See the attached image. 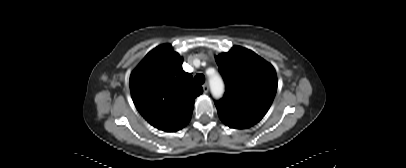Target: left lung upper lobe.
Here are the masks:
<instances>
[{"label": "left lung upper lobe", "mask_w": 406, "mask_h": 168, "mask_svg": "<svg viewBox=\"0 0 406 168\" xmlns=\"http://www.w3.org/2000/svg\"><path fill=\"white\" fill-rule=\"evenodd\" d=\"M226 92L215 105L219 115L256 124L270 108L277 90L274 67L253 51L234 46L216 57Z\"/></svg>", "instance_id": "obj_1"}]
</instances>
